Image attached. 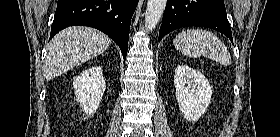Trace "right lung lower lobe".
I'll return each instance as SVG.
<instances>
[{
    "label": "right lung lower lobe",
    "instance_id": "98d812e1",
    "mask_svg": "<svg viewBox=\"0 0 280 137\" xmlns=\"http://www.w3.org/2000/svg\"><path fill=\"white\" fill-rule=\"evenodd\" d=\"M139 0H58L50 39L74 25L96 28L111 37L126 59L131 18Z\"/></svg>",
    "mask_w": 280,
    "mask_h": 137
}]
</instances>
